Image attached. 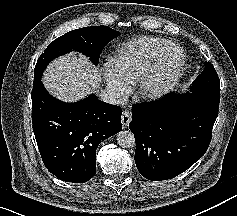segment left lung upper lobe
Listing matches in <instances>:
<instances>
[{
	"mask_svg": "<svg viewBox=\"0 0 237 216\" xmlns=\"http://www.w3.org/2000/svg\"><path fill=\"white\" fill-rule=\"evenodd\" d=\"M193 94L220 100V81L210 62H205V68L190 87Z\"/></svg>",
	"mask_w": 237,
	"mask_h": 216,
	"instance_id": "obj_1",
	"label": "left lung upper lobe"
}]
</instances>
